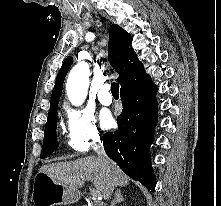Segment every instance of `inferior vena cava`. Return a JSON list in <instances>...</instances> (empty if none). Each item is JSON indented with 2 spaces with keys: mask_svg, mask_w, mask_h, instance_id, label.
Returning a JSON list of instances; mask_svg holds the SVG:
<instances>
[{
  "mask_svg": "<svg viewBox=\"0 0 221 206\" xmlns=\"http://www.w3.org/2000/svg\"><path fill=\"white\" fill-rule=\"evenodd\" d=\"M93 149L97 153L99 161L104 165H108L109 158L107 157L103 145L99 139L94 140ZM113 191L114 186L112 183H110L109 192L112 193Z\"/></svg>",
  "mask_w": 221,
  "mask_h": 206,
  "instance_id": "obj_1",
  "label": "inferior vena cava"
}]
</instances>
